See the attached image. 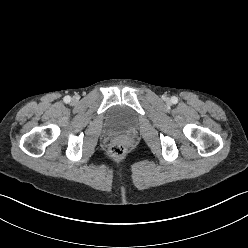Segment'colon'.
I'll return each mask as SVG.
<instances>
[{
    "instance_id": "obj_1",
    "label": "colon",
    "mask_w": 248,
    "mask_h": 248,
    "mask_svg": "<svg viewBox=\"0 0 248 248\" xmlns=\"http://www.w3.org/2000/svg\"><path fill=\"white\" fill-rule=\"evenodd\" d=\"M126 145L121 141L112 143L109 147V154L113 159H120L126 153Z\"/></svg>"
}]
</instances>
